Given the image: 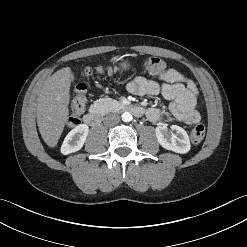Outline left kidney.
<instances>
[{"label":"left kidney","mask_w":247,"mask_h":247,"mask_svg":"<svg viewBox=\"0 0 247 247\" xmlns=\"http://www.w3.org/2000/svg\"><path fill=\"white\" fill-rule=\"evenodd\" d=\"M175 133L167 131V125L160 124L156 127L155 133L159 144L176 153L185 154L190 151V140L186 131L177 125L171 127Z\"/></svg>","instance_id":"5707ae66"}]
</instances>
